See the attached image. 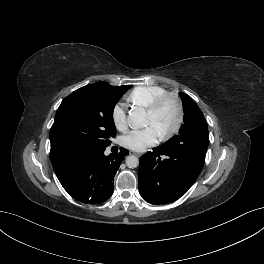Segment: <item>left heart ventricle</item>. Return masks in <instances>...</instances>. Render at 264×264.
<instances>
[{
	"label": "left heart ventricle",
	"instance_id": "obj_1",
	"mask_svg": "<svg viewBox=\"0 0 264 264\" xmlns=\"http://www.w3.org/2000/svg\"><path fill=\"white\" fill-rule=\"evenodd\" d=\"M177 112L174 103L166 101L155 114H146V123L156 128L162 134L173 127L176 122Z\"/></svg>",
	"mask_w": 264,
	"mask_h": 264
}]
</instances>
